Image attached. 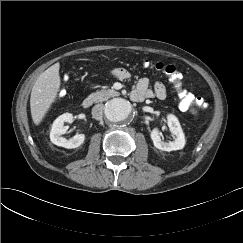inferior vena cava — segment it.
<instances>
[{"label": "inferior vena cava", "mask_w": 243, "mask_h": 243, "mask_svg": "<svg viewBox=\"0 0 243 243\" xmlns=\"http://www.w3.org/2000/svg\"><path fill=\"white\" fill-rule=\"evenodd\" d=\"M103 104H97L92 108V115L95 119H100L103 114Z\"/></svg>", "instance_id": "obj_1"}]
</instances>
